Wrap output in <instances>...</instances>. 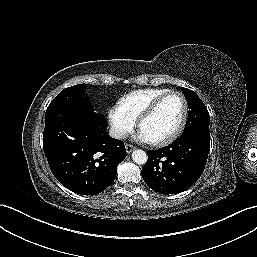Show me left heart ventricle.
Returning a JSON list of instances; mask_svg holds the SVG:
<instances>
[{
	"mask_svg": "<svg viewBox=\"0 0 257 257\" xmlns=\"http://www.w3.org/2000/svg\"><path fill=\"white\" fill-rule=\"evenodd\" d=\"M183 114V102L178 95H171L145 120L140 131L150 140L166 138L177 128Z\"/></svg>",
	"mask_w": 257,
	"mask_h": 257,
	"instance_id": "left-heart-ventricle-1",
	"label": "left heart ventricle"
}]
</instances>
